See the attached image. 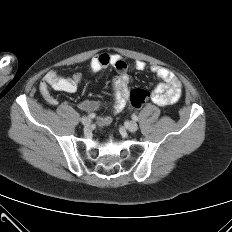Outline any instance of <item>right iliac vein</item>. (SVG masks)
Here are the masks:
<instances>
[{
	"label": "right iliac vein",
	"mask_w": 232,
	"mask_h": 232,
	"mask_svg": "<svg viewBox=\"0 0 232 232\" xmlns=\"http://www.w3.org/2000/svg\"><path fill=\"white\" fill-rule=\"evenodd\" d=\"M80 121L84 126H89L91 123V120L88 117H82Z\"/></svg>",
	"instance_id": "1"
}]
</instances>
